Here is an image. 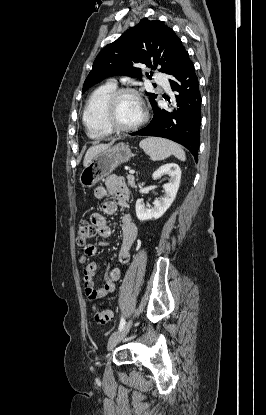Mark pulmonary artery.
Listing matches in <instances>:
<instances>
[{
	"instance_id": "pulmonary-artery-1",
	"label": "pulmonary artery",
	"mask_w": 266,
	"mask_h": 415,
	"mask_svg": "<svg viewBox=\"0 0 266 415\" xmlns=\"http://www.w3.org/2000/svg\"><path fill=\"white\" fill-rule=\"evenodd\" d=\"M155 81L160 84L161 86H163L166 89H169V84L168 81L166 80V78L162 75V74H156L155 75Z\"/></svg>"
}]
</instances>
